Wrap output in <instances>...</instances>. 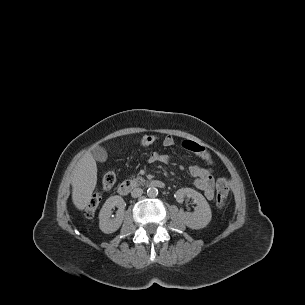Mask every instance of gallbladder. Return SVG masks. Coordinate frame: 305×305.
Masks as SVG:
<instances>
[{"label": "gallbladder", "mask_w": 305, "mask_h": 305, "mask_svg": "<svg viewBox=\"0 0 305 305\" xmlns=\"http://www.w3.org/2000/svg\"><path fill=\"white\" fill-rule=\"evenodd\" d=\"M91 155L93 158L99 162H105L107 160L108 154L105 148L101 146H94L91 148Z\"/></svg>", "instance_id": "1"}]
</instances>
